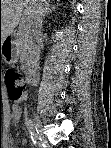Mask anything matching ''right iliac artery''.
I'll use <instances>...</instances> for the list:
<instances>
[{
    "label": "right iliac artery",
    "instance_id": "82829eb1",
    "mask_svg": "<svg viewBox=\"0 0 111 148\" xmlns=\"http://www.w3.org/2000/svg\"><path fill=\"white\" fill-rule=\"evenodd\" d=\"M25 125L27 127V129L30 131L31 133V139L33 140L34 143H36V131L38 133V130L35 129L33 121L31 119H26L25 121Z\"/></svg>",
    "mask_w": 111,
    "mask_h": 148
}]
</instances>
